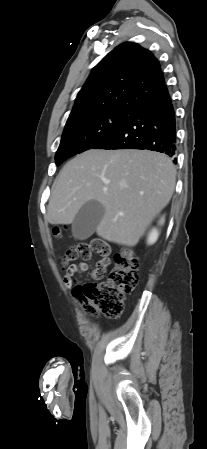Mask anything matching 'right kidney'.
Segmentation results:
<instances>
[{
  "mask_svg": "<svg viewBox=\"0 0 207 449\" xmlns=\"http://www.w3.org/2000/svg\"><path fill=\"white\" fill-rule=\"evenodd\" d=\"M163 223H164V218H161L160 224L162 225ZM158 236H159L158 230L152 229L148 236V244H150V245L154 244L157 241Z\"/></svg>",
  "mask_w": 207,
  "mask_h": 449,
  "instance_id": "right-kidney-1",
  "label": "right kidney"
}]
</instances>
